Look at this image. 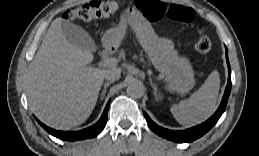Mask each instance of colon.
I'll use <instances>...</instances> for the list:
<instances>
[{
	"label": "colon",
	"mask_w": 259,
	"mask_h": 156,
	"mask_svg": "<svg viewBox=\"0 0 259 156\" xmlns=\"http://www.w3.org/2000/svg\"><path fill=\"white\" fill-rule=\"evenodd\" d=\"M137 7L150 21H159L163 18L190 25L195 20L194 12L181 5L166 6L155 0H139ZM118 4L112 0H93L89 3L77 6L65 13V19L69 21L92 20L97 18H109L117 14ZM198 39L195 49L200 54H207L211 49V41L202 25L197 26Z\"/></svg>",
	"instance_id": "5ec220e1"
}]
</instances>
